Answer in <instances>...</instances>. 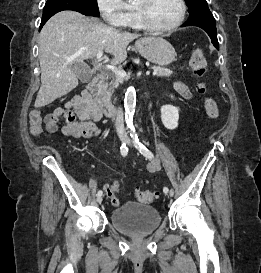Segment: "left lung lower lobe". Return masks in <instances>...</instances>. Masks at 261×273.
<instances>
[{
	"instance_id": "0a47b994",
	"label": "left lung lower lobe",
	"mask_w": 261,
	"mask_h": 273,
	"mask_svg": "<svg viewBox=\"0 0 261 273\" xmlns=\"http://www.w3.org/2000/svg\"><path fill=\"white\" fill-rule=\"evenodd\" d=\"M182 26H197L207 32L213 45L219 49L216 32V21L208 7L199 9L190 14L189 19Z\"/></svg>"
}]
</instances>
